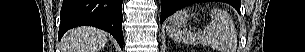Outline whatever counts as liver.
<instances>
[{
  "label": "liver",
  "mask_w": 305,
  "mask_h": 52,
  "mask_svg": "<svg viewBox=\"0 0 305 52\" xmlns=\"http://www.w3.org/2000/svg\"><path fill=\"white\" fill-rule=\"evenodd\" d=\"M107 42L106 34L96 28L79 27L66 33L62 52H99Z\"/></svg>",
  "instance_id": "obj_1"
}]
</instances>
